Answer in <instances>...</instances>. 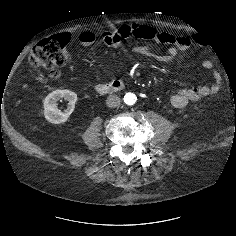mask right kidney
I'll return each instance as SVG.
<instances>
[{"mask_svg":"<svg viewBox=\"0 0 236 236\" xmlns=\"http://www.w3.org/2000/svg\"><path fill=\"white\" fill-rule=\"evenodd\" d=\"M62 98L68 101L67 109L64 112H61L57 106V102ZM76 101L77 94L70 90H55L49 93L43 101L46 120L53 124L66 122L74 110Z\"/></svg>","mask_w":236,"mask_h":236,"instance_id":"obj_1","label":"right kidney"}]
</instances>
